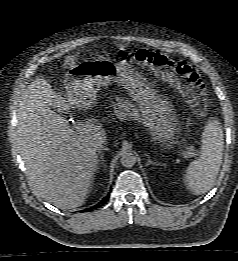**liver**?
<instances>
[{
    "mask_svg": "<svg viewBox=\"0 0 238 261\" xmlns=\"http://www.w3.org/2000/svg\"><path fill=\"white\" fill-rule=\"evenodd\" d=\"M75 59L68 57L65 65ZM50 106L65 112L72 104L47 80L36 78L19 102L18 147L33 192L58 208L72 209L88 196L98 168L96 146L106 141V133L97 127L80 134Z\"/></svg>",
    "mask_w": 238,
    "mask_h": 261,
    "instance_id": "liver-1",
    "label": "liver"
}]
</instances>
